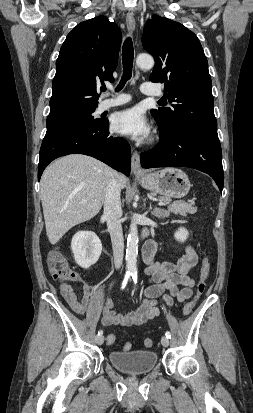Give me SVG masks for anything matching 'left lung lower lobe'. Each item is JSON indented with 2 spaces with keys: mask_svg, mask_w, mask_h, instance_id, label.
<instances>
[{
  "mask_svg": "<svg viewBox=\"0 0 253 413\" xmlns=\"http://www.w3.org/2000/svg\"><path fill=\"white\" fill-rule=\"evenodd\" d=\"M143 168L183 166L209 174L223 190L222 151L217 131L188 127L162 139L154 149L140 155Z\"/></svg>",
  "mask_w": 253,
  "mask_h": 413,
  "instance_id": "1",
  "label": "left lung lower lobe"
}]
</instances>
